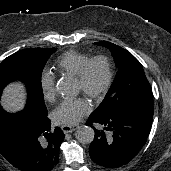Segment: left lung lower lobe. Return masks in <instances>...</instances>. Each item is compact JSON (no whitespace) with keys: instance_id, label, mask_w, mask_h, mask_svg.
I'll return each instance as SVG.
<instances>
[{"instance_id":"1","label":"left lung lower lobe","mask_w":171,"mask_h":171,"mask_svg":"<svg viewBox=\"0 0 171 171\" xmlns=\"http://www.w3.org/2000/svg\"><path fill=\"white\" fill-rule=\"evenodd\" d=\"M153 115L142 112L121 113L108 117L90 116L87 125L102 124L105 131L95 129L90 145L91 159L106 168L128 164L146 143Z\"/></svg>"}]
</instances>
